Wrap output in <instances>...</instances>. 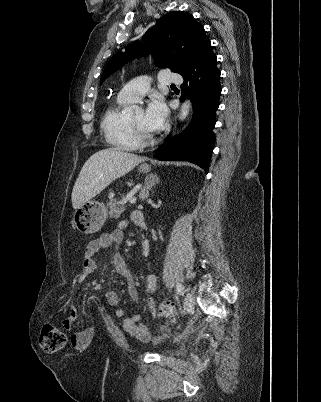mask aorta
I'll use <instances>...</instances> for the list:
<instances>
[{"mask_svg":"<svg viewBox=\"0 0 321 402\" xmlns=\"http://www.w3.org/2000/svg\"><path fill=\"white\" fill-rule=\"evenodd\" d=\"M190 107H191V102L189 100H186L181 106L179 120L183 121L186 119V117L189 114ZM133 109H135V107L129 108V110H133Z\"/></svg>","mask_w":321,"mask_h":402,"instance_id":"1","label":"aorta"}]
</instances>
